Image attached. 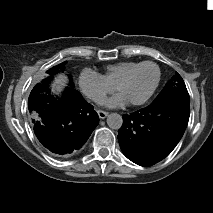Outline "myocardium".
<instances>
[{
  "mask_svg": "<svg viewBox=\"0 0 213 213\" xmlns=\"http://www.w3.org/2000/svg\"><path fill=\"white\" fill-rule=\"evenodd\" d=\"M144 66H152L155 70H156V79H155V82H154V85L151 89V91L145 96L143 97L142 99L140 100H137V101H130L128 102L130 105L132 106H140V105H143L145 104L155 93L159 83H160V79H161V70H160V67L154 63V62H151V61H145V62H141L139 63L138 65L134 66L133 68H131L118 82L117 84L115 85V89L117 91H119V88L126 82L128 81V79L132 76V74L134 72H136L138 69L144 67Z\"/></svg>",
  "mask_w": 213,
  "mask_h": 213,
  "instance_id": "myocardium-1",
  "label": "myocardium"
}]
</instances>
